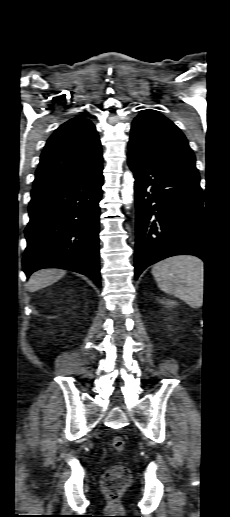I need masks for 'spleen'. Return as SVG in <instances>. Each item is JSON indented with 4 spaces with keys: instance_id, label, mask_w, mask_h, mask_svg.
Instances as JSON below:
<instances>
[{
    "instance_id": "spleen-1",
    "label": "spleen",
    "mask_w": 230,
    "mask_h": 517,
    "mask_svg": "<svg viewBox=\"0 0 230 517\" xmlns=\"http://www.w3.org/2000/svg\"><path fill=\"white\" fill-rule=\"evenodd\" d=\"M152 274L159 288L192 308L203 305L204 263L194 256H175L154 265Z\"/></svg>"
}]
</instances>
